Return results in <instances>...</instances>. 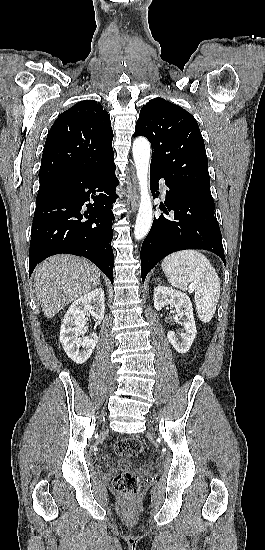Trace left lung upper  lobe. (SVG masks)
I'll return each mask as SVG.
<instances>
[{"instance_id": "5c2ea615", "label": "left lung upper lobe", "mask_w": 265, "mask_h": 550, "mask_svg": "<svg viewBox=\"0 0 265 550\" xmlns=\"http://www.w3.org/2000/svg\"><path fill=\"white\" fill-rule=\"evenodd\" d=\"M143 135L152 146L150 168L174 188L213 202L203 137L194 117L163 98L144 105L134 137Z\"/></svg>"}]
</instances>
